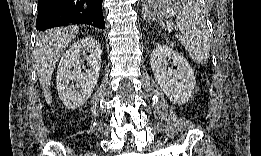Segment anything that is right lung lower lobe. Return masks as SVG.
I'll use <instances>...</instances> for the list:
<instances>
[{
    "instance_id": "obj_1",
    "label": "right lung lower lobe",
    "mask_w": 261,
    "mask_h": 156,
    "mask_svg": "<svg viewBox=\"0 0 261 156\" xmlns=\"http://www.w3.org/2000/svg\"><path fill=\"white\" fill-rule=\"evenodd\" d=\"M69 24H87L104 29L102 0H39L37 30Z\"/></svg>"
}]
</instances>
